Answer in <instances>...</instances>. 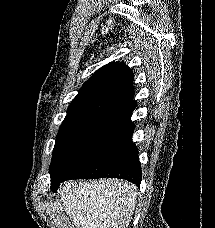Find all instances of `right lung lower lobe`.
<instances>
[{"label": "right lung lower lobe", "mask_w": 215, "mask_h": 228, "mask_svg": "<svg viewBox=\"0 0 215 228\" xmlns=\"http://www.w3.org/2000/svg\"><path fill=\"white\" fill-rule=\"evenodd\" d=\"M135 125L104 144L95 153L68 172L51 190L57 192L60 183L71 179L123 178L137 186L141 183L138 149L131 141Z\"/></svg>", "instance_id": "obj_1"}]
</instances>
